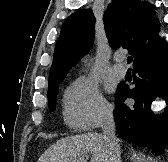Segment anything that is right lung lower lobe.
Masks as SVG:
<instances>
[{
	"mask_svg": "<svg viewBox=\"0 0 168 162\" xmlns=\"http://www.w3.org/2000/svg\"><path fill=\"white\" fill-rule=\"evenodd\" d=\"M135 88L119 84L114 119L119 136L125 141L151 148L161 154L167 144L168 106L162 116L152 114L151 102L157 96L168 98V48L143 59L133 68ZM134 99V105L123 103Z\"/></svg>",
	"mask_w": 168,
	"mask_h": 162,
	"instance_id": "right-lung-lower-lobe-1",
	"label": "right lung lower lobe"
}]
</instances>
